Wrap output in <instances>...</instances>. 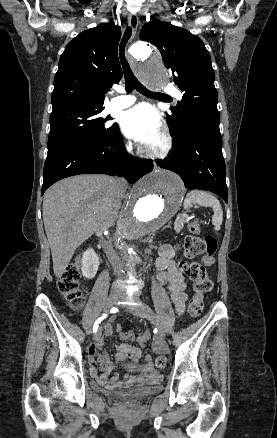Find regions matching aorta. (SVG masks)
<instances>
[{
	"mask_svg": "<svg viewBox=\"0 0 277 438\" xmlns=\"http://www.w3.org/2000/svg\"><path fill=\"white\" fill-rule=\"evenodd\" d=\"M130 53L143 64L138 69L142 82L153 88L168 81L169 73L158 54L145 43H135ZM184 185L173 172L158 169L133 187L114 232L116 247L134 254L133 246L170 220L181 205Z\"/></svg>",
	"mask_w": 277,
	"mask_h": 438,
	"instance_id": "obj_1",
	"label": "aorta"
}]
</instances>
